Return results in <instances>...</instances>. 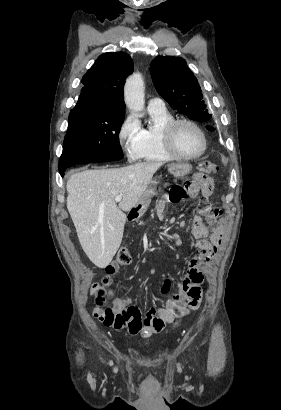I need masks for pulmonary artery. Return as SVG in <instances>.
<instances>
[{
  "mask_svg": "<svg viewBox=\"0 0 281 410\" xmlns=\"http://www.w3.org/2000/svg\"><path fill=\"white\" fill-rule=\"evenodd\" d=\"M164 101L160 98H151L148 102V109H164Z\"/></svg>",
  "mask_w": 281,
  "mask_h": 410,
  "instance_id": "1",
  "label": "pulmonary artery"
}]
</instances>
